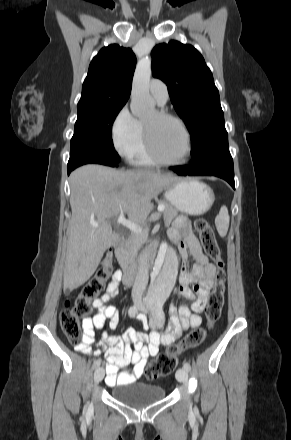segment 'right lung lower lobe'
Listing matches in <instances>:
<instances>
[{
	"mask_svg": "<svg viewBox=\"0 0 291 440\" xmlns=\"http://www.w3.org/2000/svg\"><path fill=\"white\" fill-rule=\"evenodd\" d=\"M89 163L103 164L111 167L118 166V163L112 161L111 159L105 156L89 154V153H76L74 155H70V159L68 161V166H67L68 175L75 168Z\"/></svg>",
	"mask_w": 291,
	"mask_h": 440,
	"instance_id": "98d812e1",
	"label": "right lung lower lobe"
}]
</instances>
